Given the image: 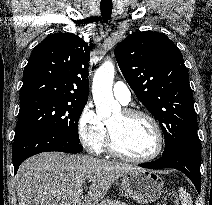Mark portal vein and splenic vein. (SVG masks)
Segmentation results:
<instances>
[{
    "label": "portal vein and splenic vein",
    "mask_w": 212,
    "mask_h": 205,
    "mask_svg": "<svg viewBox=\"0 0 212 205\" xmlns=\"http://www.w3.org/2000/svg\"><path fill=\"white\" fill-rule=\"evenodd\" d=\"M82 193H83V189L78 190V192H77L78 197H80L82 195Z\"/></svg>",
    "instance_id": "18ae733b"
}]
</instances>
